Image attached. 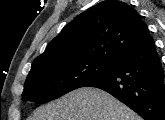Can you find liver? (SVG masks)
<instances>
[{
	"label": "liver",
	"instance_id": "liver-1",
	"mask_svg": "<svg viewBox=\"0 0 165 120\" xmlns=\"http://www.w3.org/2000/svg\"><path fill=\"white\" fill-rule=\"evenodd\" d=\"M30 120H141V118L105 91L83 87L39 107Z\"/></svg>",
	"mask_w": 165,
	"mask_h": 120
}]
</instances>
